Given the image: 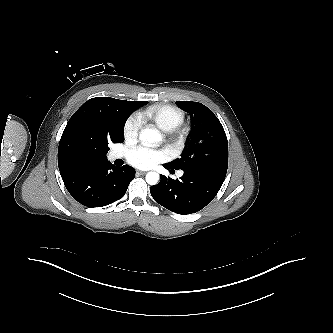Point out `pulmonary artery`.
I'll use <instances>...</instances> for the list:
<instances>
[{
  "instance_id": "e3ab8cb5",
  "label": "pulmonary artery",
  "mask_w": 333,
  "mask_h": 333,
  "mask_svg": "<svg viewBox=\"0 0 333 333\" xmlns=\"http://www.w3.org/2000/svg\"><path fill=\"white\" fill-rule=\"evenodd\" d=\"M122 156L123 155L121 152L113 151L110 153L109 158H110V160H116V159L121 158ZM181 175H182V172L179 173V176H181Z\"/></svg>"
}]
</instances>
